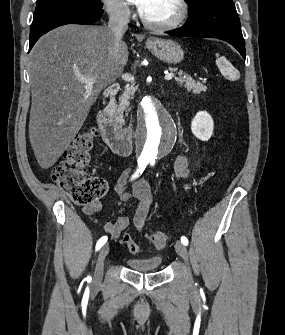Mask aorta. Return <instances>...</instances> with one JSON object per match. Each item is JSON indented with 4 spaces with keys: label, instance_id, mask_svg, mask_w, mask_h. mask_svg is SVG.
<instances>
[{
    "label": "aorta",
    "instance_id": "obj_1",
    "mask_svg": "<svg viewBox=\"0 0 285 335\" xmlns=\"http://www.w3.org/2000/svg\"><path fill=\"white\" fill-rule=\"evenodd\" d=\"M138 112L140 125L133 127V134L138 138L136 145L140 147L141 159L163 160L180 137L177 119H171L161 95H144V100H139Z\"/></svg>",
    "mask_w": 285,
    "mask_h": 335
}]
</instances>
